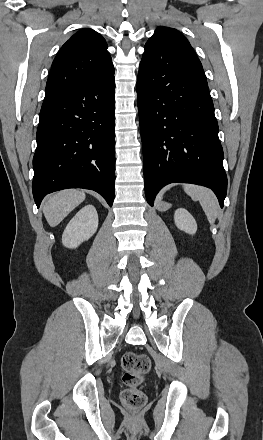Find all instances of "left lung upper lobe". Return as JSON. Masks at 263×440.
Wrapping results in <instances>:
<instances>
[{
    "label": "left lung upper lobe",
    "instance_id": "1",
    "mask_svg": "<svg viewBox=\"0 0 263 440\" xmlns=\"http://www.w3.org/2000/svg\"><path fill=\"white\" fill-rule=\"evenodd\" d=\"M167 55L174 56L185 66L206 79L202 64L188 40L176 29L160 26L145 44V52L141 63L157 65Z\"/></svg>",
    "mask_w": 263,
    "mask_h": 440
}]
</instances>
